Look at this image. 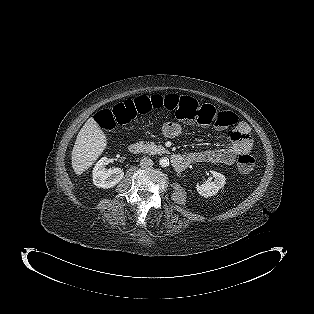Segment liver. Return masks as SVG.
Masks as SVG:
<instances>
[{"label": "liver", "instance_id": "6515ba94", "mask_svg": "<svg viewBox=\"0 0 314 314\" xmlns=\"http://www.w3.org/2000/svg\"><path fill=\"white\" fill-rule=\"evenodd\" d=\"M107 147V137L94 118L86 121L72 150V168L81 175L90 168Z\"/></svg>", "mask_w": 314, "mask_h": 314}]
</instances>
